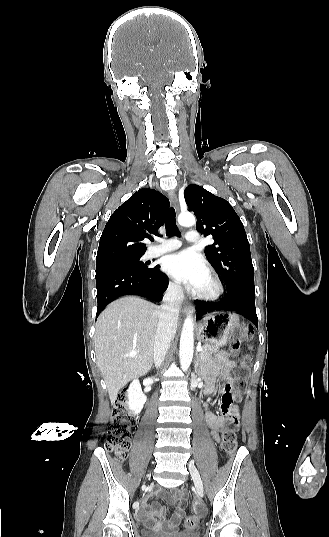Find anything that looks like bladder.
Returning <instances> with one entry per match:
<instances>
[{"label": "bladder", "mask_w": 329, "mask_h": 537, "mask_svg": "<svg viewBox=\"0 0 329 537\" xmlns=\"http://www.w3.org/2000/svg\"><path fill=\"white\" fill-rule=\"evenodd\" d=\"M143 537H199V533L195 530L176 533H164L153 530H143Z\"/></svg>", "instance_id": "31cf9c89"}]
</instances>
